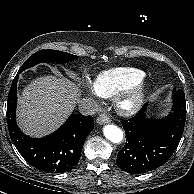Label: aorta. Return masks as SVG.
<instances>
[{
	"label": "aorta",
	"mask_w": 194,
	"mask_h": 194,
	"mask_svg": "<svg viewBox=\"0 0 194 194\" xmlns=\"http://www.w3.org/2000/svg\"><path fill=\"white\" fill-rule=\"evenodd\" d=\"M104 136L110 140L112 143H120L123 140V131L112 124L105 125L103 128Z\"/></svg>",
	"instance_id": "762f6f07"
}]
</instances>
